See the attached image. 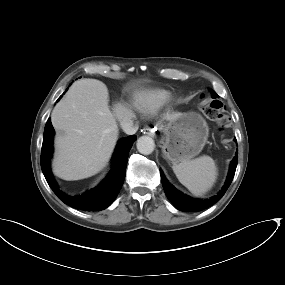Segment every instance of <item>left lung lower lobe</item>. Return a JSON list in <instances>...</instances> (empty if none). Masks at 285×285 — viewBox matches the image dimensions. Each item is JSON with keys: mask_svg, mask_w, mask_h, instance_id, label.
I'll list each match as a JSON object with an SVG mask.
<instances>
[{"mask_svg": "<svg viewBox=\"0 0 285 285\" xmlns=\"http://www.w3.org/2000/svg\"><path fill=\"white\" fill-rule=\"evenodd\" d=\"M236 141V139H234ZM238 153H236V156L233 158L230 164L229 168V173L225 182V185L223 186L222 190L218 193L217 196L211 198V199H206V200H201V199H193L189 196H186L185 194L181 193L177 189H175L166 179V177L163 174V171L160 169V175H161V180H162V185L165 191V194L167 198L170 200V202L178 209L181 211H186V212H194V211H201L203 209H206L216 203L218 200H220L223 195L225 194L226 190L230 186L235 170L237 167V162H238Z\"/></svg>", "mask_w": 285, "mask_h": 285, "instance_id": "left-lung-lower-lobe-1", "label": "left lung lower lobe"}]
</instances>
